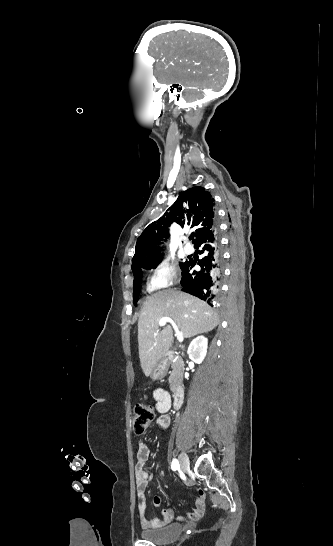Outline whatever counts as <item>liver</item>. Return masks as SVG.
Masks as SVG:
<instances>
[{"instance_id":"1","label":"liver","mask_w":333,"mask_h":546,"mask_svg":"<svg viewBox=\"0 0 333 546\" xmlns=\"http://www.w3.org/2000/svg\"><path fill=\"white\" fill-rule=\"evenodd\" d=\"M163 317L173 319L183 338L212 331L219 323L217 312L192 295L167 289L147 297L138 320L139 358L146 377L173 341L170 325L160 329L159 320Z\"/></svg>"}]
</instances>
